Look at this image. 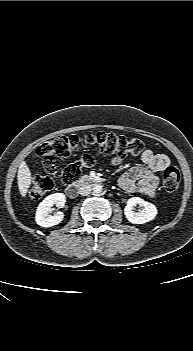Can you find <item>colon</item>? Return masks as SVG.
I'll return each instance as SVG.
<instances>
[{
  "mask_svg": "<svg viewBox=\"0 0 193 351\" xmlns=\"http://www.w3.org/2000/svg\"><path fill=\"white\" fill-rule=\"evenodd\" d=\"M94 149L100 154L119 156H137L144 150V144L137 138H127L110 132L90 133L84 136L63 135L41 143L36 153L44 160L46 171L60 177L63 184L68 185L76 181L81 175L82 168L91 167L96 163V157L92 153H86L75 163L59 170L54 160L57 157H67L80 147ZM181 181V173L178 167L170 165L163 172V188L167 193H174ZM54 187L51 176H37L29 190L32 199H40L49 193Z\"/></svg>",
  "mask_w": 193,
  "mask_h": 351,
  "instance_id": "1",
  "label": "colon"
}]
</instances>
